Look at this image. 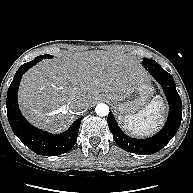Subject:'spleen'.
<instances>
[{
  "label": "spleen",
  "mask_w": 193,
  "mask_h": 193,
  "mask_svg": "<svg viewBox=\"0 0 193 193\" xmlns=\"http://www.w3.org/2000/svg\"><path fill=\"white\" fill-rule=\"evenodd\" d=\"M163 102L155 97L139 113L127 115L125 117L123 128L135 137L149 136L157 131L160 124L163 123L161 114Z\"/></svg>",
  "instance_id": "spleen-1"
}]
</instances>
